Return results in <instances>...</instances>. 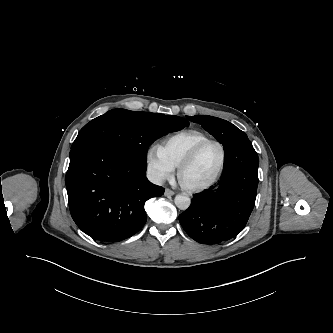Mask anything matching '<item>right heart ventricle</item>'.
Returning a JSON list of instances; mask_svg holds the SVG:
<instances>
[{
  "label": "right heart ventricle",
  "instance_id": "e07e8e85",
  "mask_svg": "<svg viewBox=\"0 0 333 333\" xmlns=\"http://www.w3.org/2000/svg\"><path fill=\"white\" fill-rule=\"evenodd\" d=\"M207 139L209 137L201 131L185 130L164 139L159 149L174 167H178L181 161L198 143Z\"/></svg>",
  "mask_w": 333,
  "mask_h": 333
}]
</instances>
